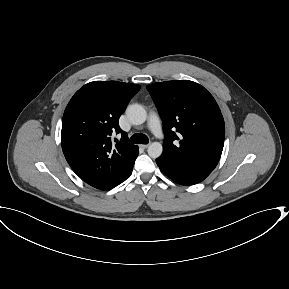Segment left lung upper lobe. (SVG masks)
Masks as SVG:
<instances>
[{"mask_svg": "<svg viewBox=\"0 0 289 289\" xmlns=\"http://www.w3.org/2000/svg\"><path fill=\"white\" fill-rule=\"evenodd\" d=\"M147 89L164 124L160 158L168 164L212 171L225 137L224 119L213 96L189 80L154 83Z\"/></svg>", "mask_w": 289, "mask_h": 289, "instance_id": "1", "label": "left lung upper lobe"}]
</instances>
